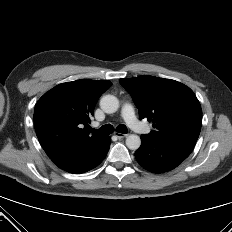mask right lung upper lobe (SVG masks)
I'll return each mask as SVG.
<instances>
[{
	"mask_svg": "<svg viewBox=\"0 0 232 232\" xmlns=\"http://www.w3.org/2000/svg\"><path fill=\"white\" fill-rule=\"evenodd\" d=\"M112 85L106 80L81 79L57 85L37 102L34 124L38 140L53 162L99 147L107 136L82 129L99 97Z\"/></svg>",
	"mask_w": 232,
	"mask_h": 232,
	"instance_id": "obj_1",
	"label": "right lung upper lobe"
}]
</instances>
